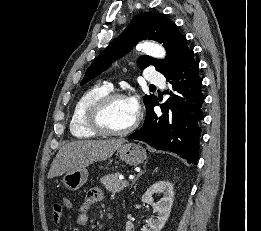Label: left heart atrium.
Returning a JSON list of instances; mask_svg holds the SVG:
<instances>
[{
    "label": "left heart atrium",
    "mask_w": 261,
    "mask_h": 231,
    "mask_svg": "<svg viewBox=\"0 0 261 231\" xmlns=\"http://www.w3.org/2000/svg\"><path fill=\"white\" fill-rule=\"evenodd\" d=\"M130 105L135 113L139 111V102L136 97H132L129 99Z\"/></svg>",
    "instance_id": "39dd6f15"
}]
</instances>
